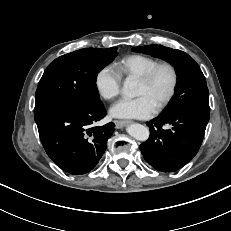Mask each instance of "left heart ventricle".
Listing matches in <instances>:
<instances>
[{"instance_id":"left-heart-ventricle-1","label":"left heart ventricle","mask_w":231,"mask_h":231,"mask_svg":"<svg viewBox=\"0 0 231 231\" xmlns=\"http://www.w3.org/2000/svg\"><path fill=\"white\" fill-rule=\"evenodd\" d=\"M170 82L169 72L165 69L161 70L150 84L138 81L136 95H146L156 107L167 93Z\"/></svg>"}]
</instances>
